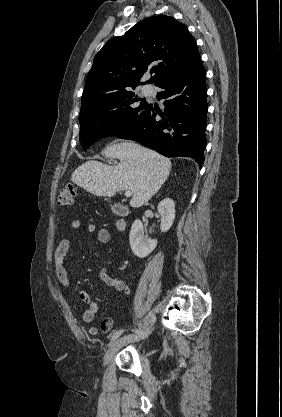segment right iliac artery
<instances>
[{
    "label": "right iliac artery",
    "mask_w": 282,
    "mask_h": 417,
    "mask_svg": "<svg viewBox=\"0 0 282 417\" xmlns=\"http://www.w3.org/2000/svg\"><path fill=\"white\" fill-rule=\"evenodd\" d=\"M155 316H152L151 318V323L155 322ZM124 332V330H118V331H114L112 336H111V342L115 341L122 333Z\"/></svg>",
    "instance_id": "82829eb1"
}]
</instances>
